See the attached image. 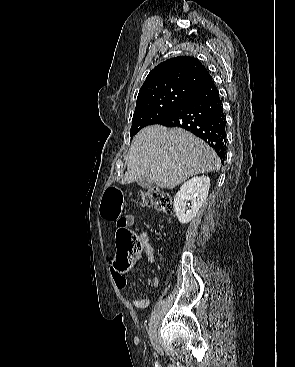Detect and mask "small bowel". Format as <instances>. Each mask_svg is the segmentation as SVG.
Wrapping results in <instances>:
<instances>
[{"label": "small bowel", "mask_w": 295, "mask_h": 367, "mask_svg": "<svg viewBox=\"0 0 295 367\" xmlns=\"http://www.w3.org/2000/svg\"><path fill=\"white\" fill-rule=\"evenodd\" d=\"M134 221H135L134 216L131 215V214L123 216L119 222H116V233L120 228H129V227H131L134 224ZM142 244L145 247L147 257H148V261L151 264H154L155 263V257H154V254H153L151 248L148 245L146 236L142 237ZM110 265H111L110 270H111V274H112L113 280L115 282V285L120 290L125 289L128 285V280H127L126 276L124 275L123 272H120L116 268V265L113 261L110 262ZM147 284L149 286L157 287L159 285V280H158L157 277H153L152 279L147 280ZM128 301L131 303V305L133 307H135L137 309H145L150 304V301L148 299L128 298Z\"/></svg>", "instance_id": "1"}]
</instances>
